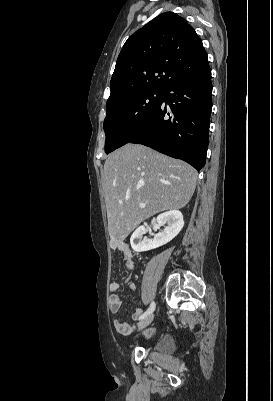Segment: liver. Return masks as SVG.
<instances>
[{
	"instance_id": "obj_1",
	"label": "liver",
	"mask_w": 273,
	"mask_h": 401,
	"mask_svg": "<svg viewBox=\"0 0 273 401\" xmlns=\"http://www.w3.org/2000/svg\"><path fill=\"white\" fill-rule=\"evenodd\" d=\"M197 174L187 162L143 144L128 142L111 152L102 174L111 243L124 241L156 213L185 207L195 190ZM139 203H144L145 209Z\"/></svg>"
}]
</instances>
